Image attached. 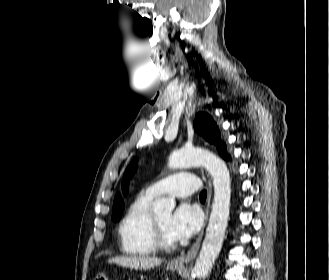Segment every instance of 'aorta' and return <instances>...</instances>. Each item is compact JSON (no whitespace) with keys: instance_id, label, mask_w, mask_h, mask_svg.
Here are the masks:
<instances>
[{"instance_id":"obj_1","label":"aorta","mask_w":329,"mask_h":280,"mask_svg":"<svg viewBox=\"0 0 329 280\" xmlns=\"http://www.w3.org/2000/svg\"><path fill=\"white\" fill-rule=\"evenodd\" d=\"M168 166L172 169L203 166L213 178L212 211L206 235L192 271L194 277L204 280L220 253L228 225L231 198L230 174L226 164L219 157L197 148L174 151L169 157ZM174 207L173 200L162 198L153 204V211L158 216H170Z\"/></svg>"}]
</instances>
